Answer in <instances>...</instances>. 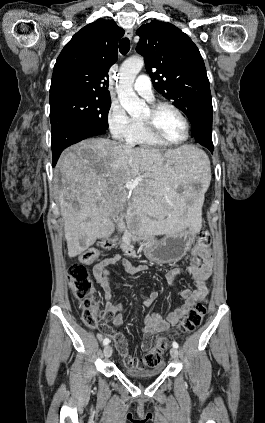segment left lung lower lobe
I'll list each match as a JSON object with an SVG mask.
<instances>
[{"mask_svg":"<svg viewBox=\"0 0 265 423\" xmlns=\"http://www.w3.org/2000/svg\"><path fill=\"white\" fill-rule=\"evenodd\" d=\"M212 117H213L212 107L202 112L198 118L197 127L192 132V137L194 138L196 142L205 146L213 153Z\"/></svg>","mask_w":265,"mask_h":423,"instance_id":"0a47b994","label":"left lung lower lobe"}]
</instances>
